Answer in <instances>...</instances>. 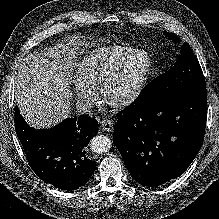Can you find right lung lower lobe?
Here are the masks:
<instances>
[{
    "label": "right lung lower lobe",
    "mask_w": 219,
    "mask_h": 219,
    "mask_svg": "<svg viewBox=\"0 0 219 219\" xmlns=\"http://www.w3.org/2000/svg\"><path fill=\"white\" fill-rule=\"evenodd\" d=\"M15 130L29 165L44 182L62 190L84 185L96 168L86 155L89 140L98 133L94 118H67L51 129H34L15 108Z\"/></svg>",
    "instance_id": "98d812e1"
}]
</instances>
